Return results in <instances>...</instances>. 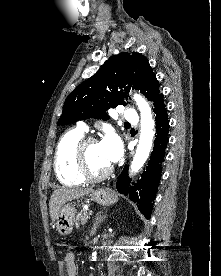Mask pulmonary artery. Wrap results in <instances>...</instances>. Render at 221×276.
Here are the masks:
<instances>
[{"label":"pulmonary artery","instance_id":"obj_1","mask_svg":"<svg viewBox=\"0 0 221 276\" xmlns=\"http://www.w3.org/2000/svg\"><path fill=\"white\" fill-rule=\"evenodd\" d=\"M123 117L130 122H135L137 120V114L134 109L132 108H126L123 112ZM78 128L82 130L83 132L88 130V127L84 122H80L78 124Z\"/></svg>","mask_w":221,"mask_h":276}]
</instances>
